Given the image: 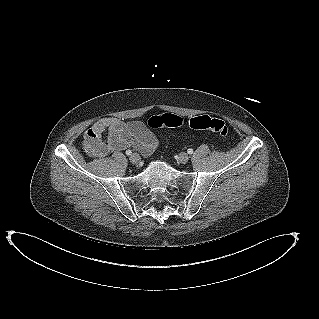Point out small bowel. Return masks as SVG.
<instances>
[{
    "instance_id": "1",
    "label": "small bowel",
    "mask_w": 319,
    "mask_h": 319,
    "mask_svg": "<svg viewBox=\"0 0 319 319\" xmlns=\"http://www.w3.org/2000/svg\"><path fill=\"white\" fill-rule=\"evenodd\" d=\"M107 132V139L103 134ZM159 146V139L138 120L122 121L116 117L97 120L85 133L83 147L91 158H105L110 153L134 148L143 156L151 155ZM126 150V151H127Z\"/></svg>"
}]
</instances>
